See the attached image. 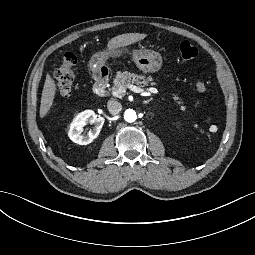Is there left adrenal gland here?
Instances as JSON below:
<instances>
[{"instance_id": "a2214340", "label": "left adrenal gland", "mask_w": 255, "mask_h": 255, "mask_svg": "<svg viewBox=\"0 0 255 255\" xmlns=\"http://www.w3.org/2000/svg\"><path fill=\"white\" fill-rule=\"evenodd\" d=\"M153 99H149L147 101H144L145 104H149Z\"/></svg>"}]
</instances>
